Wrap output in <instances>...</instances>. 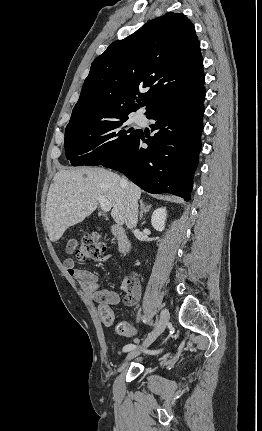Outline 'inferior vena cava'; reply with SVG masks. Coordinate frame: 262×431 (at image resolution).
<instances>
[{
  "label": "inferior vena cava",
  "mask_w": 262,
  "mask_h": 431,
  "mask_svg": "<svg viewBox=\"0 0 262 431\" xmlns=\"http://www.w3.org/2000/svg\"><path fill=\"white\" fill-rule=\"evenodd\" d=\"M122 183L127 186V182L123 179ZM124 220L128 228H135L138 221V202L131 195L127 196L124 206Z\"/></svg>",
  "instance_id": "obj_1"
}]
</instances>
